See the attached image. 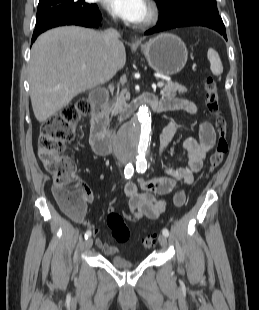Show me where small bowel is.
I'll return each mask as SVG.
<instances>
[{
	"label": "small bowel",
	"instance_id": "1",
	"mask_svg": "<svg viewBox=\"0 0 259 310\" xmlns=\"http://www.w3.org/2000/svg\"><path fill=\"white\" fill-rule=\"evenodd\" d=\"M160 105L166 110H183L190 114L197 111L196 105L183 98L168 97L162 99ZM178 125L171 123L162 132L160 137V153L164 155L165 149L176 133ZM216 139V132L209 122L201 123L199 127V140L187 138L183 142V148L187 152V163L184 166L173 167L170 160H165V176L155 179H139L137 182L129 181L124 186V193L128 198L129 212L125 213L127 220L136 222L142 219L156 220L166 210V202L157 199L156 195H165L172 192L179 181L185 185H192L195 175L201 170L207 153L213 148ZM87 193V202L93 200L91 189L84 184ZM141 188L143 192H139ZM186 201L184 192L175 193L173 205L181 207ZM108 211H114L113 204H110ZM80 224H86L87 220L82 216L76 220ZM100 230L93 229L98 235ZM96 246L107 255H115L118 248L104 242L100 237L95 240Z\"/></svg>",
	"mask_w": 259,
	"mask_h": 310
}]
</instances>
